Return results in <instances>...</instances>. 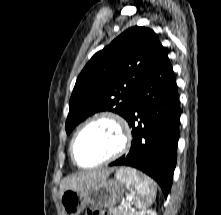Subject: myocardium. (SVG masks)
Segmentation results:
<instances>
[{"label": "myocardium", "mask_w": 221, "mask_h": 215, "mask_svg": "<svg viewBox=\"0 0 221 215\" xmlns=\"http://www.w3.org/2000/svg\"><path fill=\"white\" fill-rule=\"evenodd\" d=\"M103 120L112 122L118 128L120 137H121L120 145L117 148V150H115L111 155H109L105 159L92 165H82L78 162L76 155H75V150H74L75 142L78 136L81 134V132L85 128H87L89 125L97 121H103ZM131 140H132V132H131L130 126L128 125L124 117H122L120 114L114 111L105 110V111L98 112L94 114L93 116L89 117L78 127V129L75 131V133L72 136L70 146H69V152H70L72 162L76 166L82 169H91V168L99 167L109 162H112L115 159L122 156L123 154H125L131 145Z\"/></svg>", "instance_id": "obj_1"}]
</instances>
